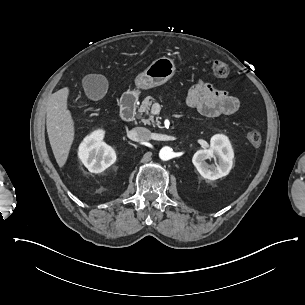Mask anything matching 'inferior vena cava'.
I'll use <instances>...</instances> for the list:
<instances>
[{
	"mask_svg": "<svg viewBox=\"0 0 305 305\" xmlns=\"http://www.w3.org/2000/svg\"><path fill=\"white\" fill-rule=\"evenodd\" d=\"M150 134L147 128L136 127L129 133V137L136 142H146L150 139Z\"/></svg>",
	"mask_w": 305,
	"mask_h": 305,
	"instance_id": "1",
	"label": "inferior vena cava"
}]
</instances>
